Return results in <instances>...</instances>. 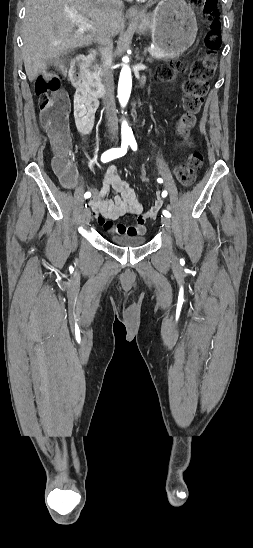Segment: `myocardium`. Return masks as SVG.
<instances>
[{
    "instance_id": "1",
    "label": "myocardium",
    "mask_w": 253,
    "mask_h": 548,
    "mask_svg": "<svg viewBox=\"0 0 253 548\" xmlns=\"http://www.w3.org/2000/svg\"><path fill=\"white\" fill-rule=\"evenodd\" d=\"M141 1H146V0H141ZM150 1H158V0H150Z\"/></svg>"
}]
</instances>
